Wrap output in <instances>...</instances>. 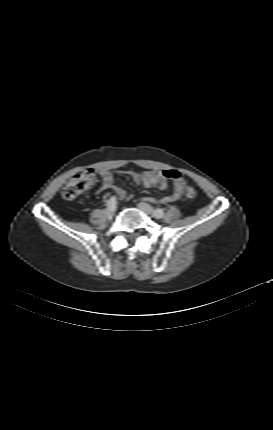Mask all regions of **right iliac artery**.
I'll use <instances>...</instances> for the list:
<instances>
[{
    "instance_id": "obj_1",
    "label": "right iliac artery",
    "mask_w": 273,
    "mask_h": 430,
    "mask_svg": "<svg viewBox=\"0 0 273 430\" xmlns=\"http://www.w3.org/2000/svg\"><path fill=\"white\" fill-rule=\"evenodd\" d=\"M116 203H117L116 196H112L111 198H109L107 200V207L110 208V209H115L116 208Z\"/></svg>"
}]
</instances>
